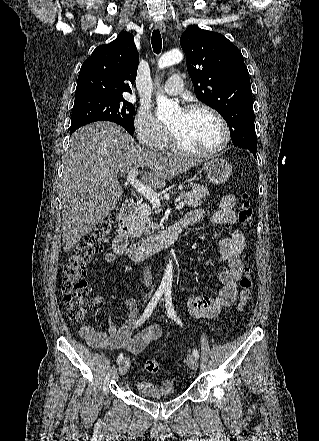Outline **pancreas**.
<instances>
[{
    "label": "pancreas",
    "instance_id": "obj_1",
    "mask_svg": "<svg viewBox=\"0 0 319 441\" xmlns=\"http://www.w3.org/2000/svg\"><path fill=\"white\" fill-rule=\"evenodd\" d=\"M190 187L194 191H182L179 199H183L184 203L188 207L195 208L204 202L206 195L208 194V190L206 186L204 187L193 182L190 183ZM150 209V206L147 204H141L132 212L127 233L131 239L142 237L143 235H149L151 233V229L155 230L157 228V225L154 224L150 218H148Z\"/></svg>",
    "mask_w": 319,
    "mask_h": 441
}]
</instances>
